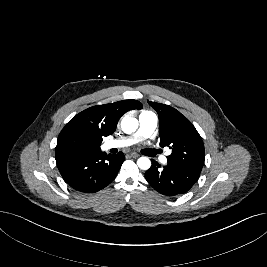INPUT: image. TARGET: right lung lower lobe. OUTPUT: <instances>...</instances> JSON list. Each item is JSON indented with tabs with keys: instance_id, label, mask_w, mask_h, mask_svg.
<instances>
[{
	"instance_id": "1",
	"label": "right lung lower lobe",
	"mask_w": 267,
	"mask_h": 267,
	"mask_svg": "<svg viewBox=\"0 0 267 267\" xmlns=\"http://www.w3.org/2000/svg\"><path fill=\"white\" fill-rule=\"evenodd\" d=\"M125 160L122 152L106 155L100 149L82 154L56 155L63 179L73 189L94 193L109 185Z\"/></svg>"
}]
</instances>
